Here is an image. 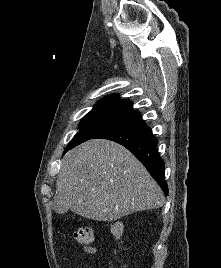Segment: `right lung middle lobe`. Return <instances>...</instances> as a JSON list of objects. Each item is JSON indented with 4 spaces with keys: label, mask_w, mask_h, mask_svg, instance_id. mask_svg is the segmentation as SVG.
I'll list each match as a JSON object with an SVG mask.
<instances>
[{
    "label": "right lung middle lobe",
    "mask_w": 221,
    "mask_h": 268,
    "mask_svg": "<svg viewBox=\"0 0 221 268\" xmlns=\"http://www.w3.org/2000/svg\"><path fill=\"white\" fill-rule=\"evenodd\" d=\"M125 119L120 116L102 111L89 112L80 123V131L70 141L65 151L72 149L80 143L92 137L125 123Z\"/></svg>",
    "instance_id": "1"
}]
</instances>
